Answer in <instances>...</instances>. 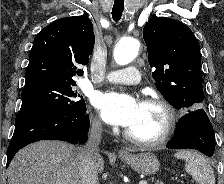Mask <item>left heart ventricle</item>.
Instances as JSON below:
<instances>
[{"label":"left heart ventricle","mask_w":224,"mask_h":184,"mask_svg":"<svg viewBox=\"0 0 224 184\" xmlns=\"http://www.w3.org/2000/svg\"><path fill=\"white\" fill-rule=\"evenodd\" d=\"M165 119L160 107L141 103L136 121L128 127V130L138 138L154 139L162 132Z\"/></svg>","instance_id":"b2bd125f"}]
</instances>
